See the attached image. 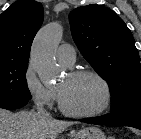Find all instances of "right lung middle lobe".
<instances>
[{
  "label": "right lung middle lobe",
  "mask_w": 141,
  "mask_h": 139,
  "mask_svg": "<svg viewBox=\"0 0 141 139\" xmlns=\"http://www.w3.org/2000/svg\"><path fill=\"white\" fill-rule=\"evenodd\" d=\"M28 61H0V101L30 100L26 82Z\"/></svg>",
  "instance_id": "dd1d6c3e"
}]
</instances>
